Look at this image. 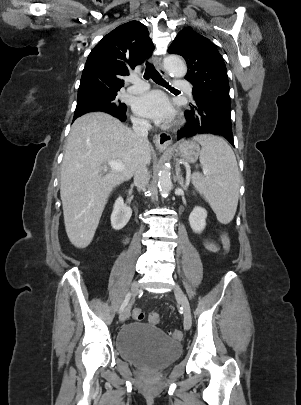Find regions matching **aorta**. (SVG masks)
Here are the masks:
<instances>
[{
    "instance_id": "obj_1",
    "label": "aorta",
    "mask_w": 301,
    "mask_h": 405,
    "mask_svg": "<svg viewBox=\"0 0 301 405\" xmlns=\"http://www.w3.org/2000/svg\"><path fill=\"white\" fill-rule=\"evenodd\" d=\"M165 69L175 77H184L187 68L184 61L176 55L168 56L164 59ZM158 187L161 195L167 197L172 188L171 173L167 166H164L158 175Z\"/></svg>"
}]
</instances>
